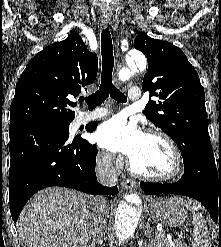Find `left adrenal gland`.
Segmentation results:
<instances>
[{
  "label": "left adrenal gland",
  "mask_w": 221,
  "mask_h": 247,
  "mask_svg": "<svg viewBox=\"0 0 221 247\" xmlns=\"http://www.w3.org/2000/svg\"><path fill=\"white\" fill-rule=\"evenodd\" d=\"M143 233H144L148 238H151V227H150L149 220H148V222L145 224V226H144V228H143Z\"/></svg>",
  "instance_id": "a2214340"
}]
</instances>
